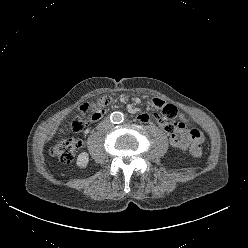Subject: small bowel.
<instances>
[{
    "mask_svg": "<svg viewBox=\"0 0 248 248\" xmlns=\"http://www.w3.org/2000/svg\"><path fill=\"white\" fill-rule=\"evenodd\" d=\"M152 105L155 108H159L162 115L160 116L152 107H149L147 112L158 122L160 128L169 133L171 146L180 150H186L192 142L191 131L186 129L185 118H180L181 113L178 111V106L164 101L162 96H154L152 98ZM108 110L107 107L104 110L99 109L94 120L100 119ZM138 118L143 123L148 122L150 119L146 113L140 114ZM178 118H180L179 121L170 124L171 121H176Z\"/></svg>",
    "mask_w": 248,
    "mask_h": 248,
    "instance_id": "1",
    "label": "small bowel"
}]
</instances>
